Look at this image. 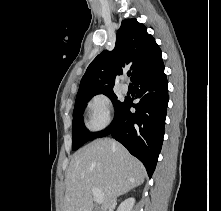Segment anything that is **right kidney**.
Instances as JSON below:
<instances>
[{"mask_svg":"<svg viewBox=\"0 0 221 211\" xmlns=\"http://www.w3.org/2000/svg\"><path fill=\"white\" fill-rule=\"evenodd\" d=\"M135 199L134 198H128L124 200L120 206L118 207L117 211H132V208L134 206Z\"/></svg>","mask_w":221,"mask_h":211,"instance_id":"obj_1","label":"right kidney"}]
</instances>
